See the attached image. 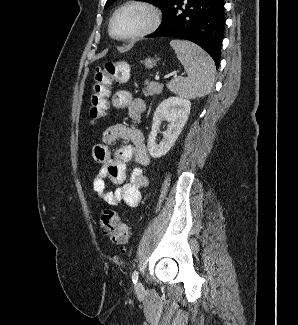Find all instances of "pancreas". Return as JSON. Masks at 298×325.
<instances>
[{"instance_id": "pancreas-1", "label": "pancreas", "mask_w": 298, "mask_h": 325, "mask_svg": "<svg viewBox=\"0 0 298 325\" xmlns=\"http://www.w3.org/2000/svg\"><path fill=\"white\" fill-rule=\"evenodd\" d=\"M163 88V82H144V88H142V92L144 96H153V94H160Z\"/></svg>"}]
</instances>
